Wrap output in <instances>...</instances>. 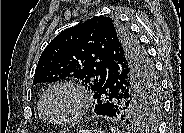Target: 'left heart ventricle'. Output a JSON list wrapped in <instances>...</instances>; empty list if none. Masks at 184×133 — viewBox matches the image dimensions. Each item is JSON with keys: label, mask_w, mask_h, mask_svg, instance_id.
I'll return each instance as SVG.
<instances>
[{"label": "left heart ventricle", "mask_w": 184, "mask_h": 133, "mask_svg": "<svg viewBox=\"0 0 184 133\" xmlns=\"http://www.w3.org/2000/svg\"><path fill=\"white\" fill-rule=\"evenodd\" d=\"M75 107V97L64 89L52 92L46 100V111L52 119L69 116L75 110Z\"/></svg>", "instance_id": "obj_1"}]
</instances>
